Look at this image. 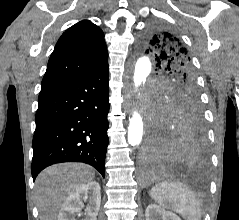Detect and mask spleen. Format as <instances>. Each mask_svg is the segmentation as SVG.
<instances>
[{
  "label": "spleen",
  "mask_w": 239,
  "mask_h": 220,
  "mask_svg": "<svg viewBox=\"0 0 239 220\" xmlns=\"http://www.w3.org/2000/svg\"><path fill=\"white\" fill-rule=\"evenodd\" d=\"M149 194L160 206L175 211L185 220H201L199 201L182 183L164 181L153 186Z\"/></svg>",
  "instance_id": "1"
}]
</instances>
